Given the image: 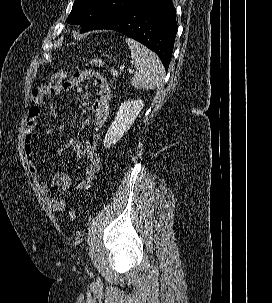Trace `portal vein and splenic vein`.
Here are the masks:
<instances>
[{"mask_svg": "<svg viewBox=\"0 0 272 303\" xmlns=\"http://www.w3.org/2000/svg\"><path fill=\"white\" fill-rule=\"evenodd\" d=\"M129 72H130V73H132V72H133V70L129 69Z\"/></svg>", "mask_w": 272, "mask_h": 303, "instance_id": "obj_1", "label": "portal vein and splenic vein"}]
</instances>
